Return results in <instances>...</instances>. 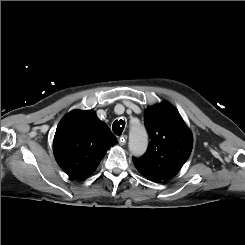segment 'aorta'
<instances>
[{
    "instance_id": "1",
    "label": "aorta",
    "mask_w": 245,
    "mask_h": 245,
    "mask_svg": "<svg viewBox=\"0 0 245 245\" xmlns=\"http://www.w3.org/2000/svg\"><path fill=\"white\" fill-rule=\"evenodd\" d=\"M148 146V136L145 127L140 123L133 124L129 130L128 148L135 156L142 155Z\"/></svg>"
}]
</instances>
